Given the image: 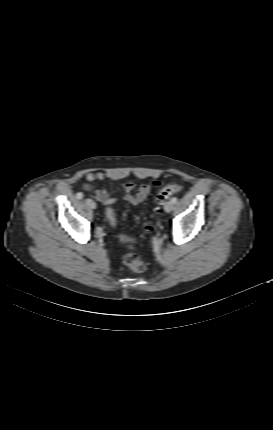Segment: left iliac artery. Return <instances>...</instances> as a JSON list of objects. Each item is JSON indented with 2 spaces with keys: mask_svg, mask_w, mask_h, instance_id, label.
<instances>
[{
  "mask_svg": "<svg viewBox=\"0 0 273 430\" xmlns=\"http://www.w3.org/2000/svg\"><path fill=\"white\" fill-rule=\"evenodd\" d=\"M171 202H172L173 204L177 203V198H176V197H173V198L171 199Z\"/></svg>",
  "mask_w": 273,
  "mask_h": 430,
  "instance_id": "left-iliac-artery-1",
  "label": "left iliac artery"
}]
</instances>
